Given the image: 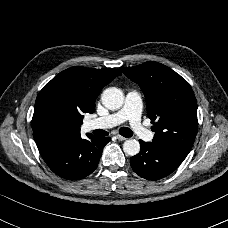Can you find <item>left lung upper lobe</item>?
I'll return each instance as SVG.
<instances>
[{"mask_svg": "<svg viewBox=\"0 0 228 228\" xmlns=\"http://www.w3.org/2000/svg\"><path fill=\"white\" fill-rule=\"evenodd\" d=\"M120 69L145 95L147 114L154 124V145L189 153L198 128L197 102L190 85L169 67L153 61Z\"/></svg>", "mask_w": 228, "mask_h": 228, "instance_id": "left-lung-upper-lobe-1", "label": "left lung upper lobe"}]
</instances>
